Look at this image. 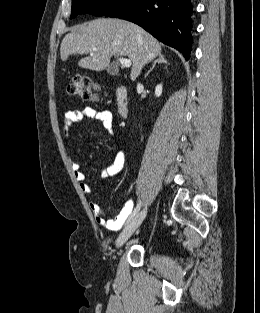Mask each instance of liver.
Wrapping results in <instances>:
<instances>
[{
    "instance_id": "6515ba94",
    "label": "liver",
    "mask_w": 260,
    "mask_h": 313,
    "mask_svg": "<svg viewBox=\"0 0 260 313\" xmlns=\"http://www.w3.org/2000/svg\"><path fill=\"white\" fill-rule=\"evenodd\" d=\"M60 51L62 61L70 55L90 54L82 58L78 66L93 71L106 69L112 56H127L132 61L131 78L135 79L147 63L161 54L162 47L134 23L99 18L74 27L63 38Z\"/></svg>"
}]
</instances>
